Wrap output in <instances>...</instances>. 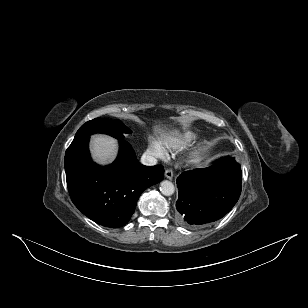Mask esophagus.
<instances>
[{
    "label": "esophagus",
    "instance_id": "obj_1",
    "mask_svg": "<svg viewBox=\"0 0 308 308\" xmlns=\"http://www.w3.org/2000/svg\"><path fill=\"white\" fill-rule=\"evenodd\" d=\"M165 177L167 179H172L173 178V171H172V169H166L165 170Z\"/></svg>",
    "mask_w": 308,
    "mask_h": 308
}]
</instances>
